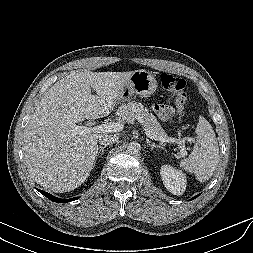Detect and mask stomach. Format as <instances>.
<instances>
[{
    "mask_svg": "<svg viewBox=\"0 0 253 253\" xmlns=\"http://www.w3.org/2000/svg\"><path fill=\"white\" fill-rule=\"evenodd\" d=\"M156 89L157 81L152 73L144 69L135 70L123 87L119 102L129 101L134 94L147 97Z\"/></svg>",
    "mask_w": 253,
    "mask_h": 253,
    "instance_id": "stomach-1",
    "label": "stomach"
}]
</instances>
